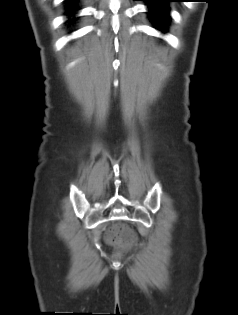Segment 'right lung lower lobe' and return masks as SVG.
<instances>
[{
	"label": "right lung lower lobe",
	"instance_id": "obj_1",
	"mask_svg": "<svg viewBox=\"0 0 238 315\" xmlns=\"http://www.w3.org/2000/svg\"><path fill=\"white\" fill-rule=\"evenodd\" d=\"M78 3H79V0H65L64 15L68 17V20L66 21L68 26L74 25V23L77 20V18L75 17V14L79 10Z\"/></svg>",
	"mask_w": 238,
	"mask_h": 315
}]
</instances>
